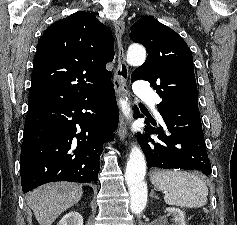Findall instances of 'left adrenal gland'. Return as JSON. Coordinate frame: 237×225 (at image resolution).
Masks as SVG:
<instances>
[{
    "instance_id": "1",
    "label": "left adrenal gland",
    "mask_w": 237,
    "mask_h": 225,
    "mask_svg": "<svg viewBox=\"0 0 237 225\" xmlns=\"http://www.w3.org/2000/svg\"><path fill=\"white\" fill-rule=\"evenodd\" d=\"M150 196H151V197H154V198H156V199H159V197L154 194V190H152Z\"/></svg>"
}]
</instances>
